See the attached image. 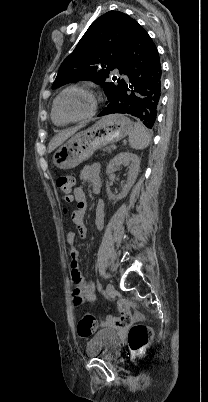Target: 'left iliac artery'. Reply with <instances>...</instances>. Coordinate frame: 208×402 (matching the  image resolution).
<instances>
[{
  "mask_svg": "<svg viewBox=\"0 0 208 402\" xmlns=\"http://www.w3.org/2000/svg\"><path fill=\"white\" fill-rule=\"evenodd\" d=\"M97 288H98V291H99V292H101V291H102V284H101L100 282H98V284H97Z\"/></svg>",
  "mask_w": 208,
  "mask_h": 402,
  "instance_id": "obj_1",
  "label": "left iliac artery"
}]
</instances>
